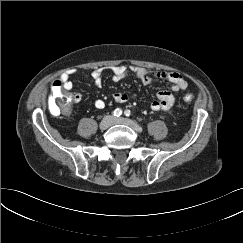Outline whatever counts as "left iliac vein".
<instances>
[{
    "label": "left iliac vein",
    "instance_id": "left-iliac-vein-1",
    "mask_svg": "<svg viewBox=\"0 0 243 243\" xmlns=\"http://www.w3.org/2000/svg\"><path fill=\"white\" fill-rule=\"evenodd\" d=\"M112 124H123V125H127V126L131 127L136 132L142 131L141 127L137 123H135L134 121L127 119V118H122V117L113 118Z\"/></svg>",
    "mask_w": 243,
    "mask_h": 243
}]
</instances>
